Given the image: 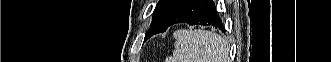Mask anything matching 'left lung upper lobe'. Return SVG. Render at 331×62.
I'll return each instance as SVG.
<instances>
[{
  "label": "left lung upper lobe",
  "instance_id": "obj_1",
  "mask_svg": "<svg viewBox=\"0 0 331 62\" xmlns=\"http://www.w3.org/2000/svg\"><path fill=\"white\" fill-rule=\"evenodd\" d=\"M186 0H159L157 3L152 23L147 33H160L169 18L185 3ZM149 39V38H148Z\"/></svg>",
  "mask_w": 331,
  "mask_h": 62
}]
</instances>
